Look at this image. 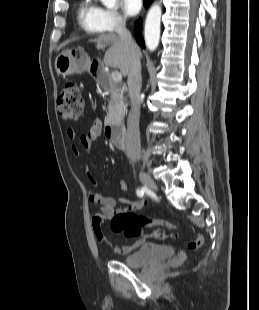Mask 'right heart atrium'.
<instances>
[{"label": "right heart atrium", "instance_id": "right-heart-atrium-1", "mask_svg": "<svg viewBox=\"0 0 259 310\" xmlns=\"http://www.w3.org/2000/svg\"><path fill=\"white\" fill-rule=\"evenodd\" d=\"M99 21L103 30L106 31H116L121 26H123L125 19L116 10L113 9H99Z\"/></svg>", "mask_w": 259, "mask_h": 310}]
</instances>
